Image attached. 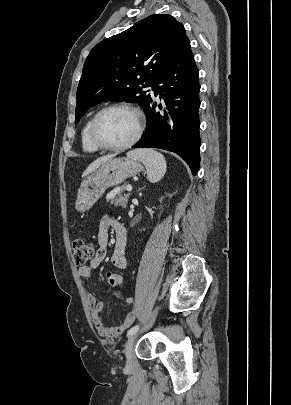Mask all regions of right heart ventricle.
<instances>
[{"label": "right heart ventricle", "instance_id": "1", "mask_svg": "<svg viewBox=\"0 0 291 405\" xmlns=\"http://www.w3.org/2000/svg\"><path fill=\"white\" fill-rule=\"evenodd\" d=\"M92 117L87 119V121L84 123L82 129H81V147L82 150L86 153H95L99 149L93 145V143L90 140L89 137V126L91 123Z\"/></svg>", "mask_w": 291, "mask_h": 405}]
</instances>
